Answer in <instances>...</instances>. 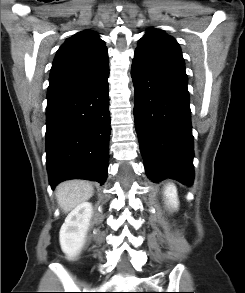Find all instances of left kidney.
Here are the masks:
<instances>
[{"instance_id":"1","label":"left kidney","mask_w":245,"mask_h":293,"mask_svg":"<svg viewBox=\"0 0 245 293\" xmlns=\"http://www.w3.org/2000/svg\"><path fill=\"white\" fill-rule=\"evenodd\" d=\"M164 196L166 197V203L172 209H177L179 206V200L177 195V188L174 184H167L164 188Z\"/></svg>"}]
</instances>
